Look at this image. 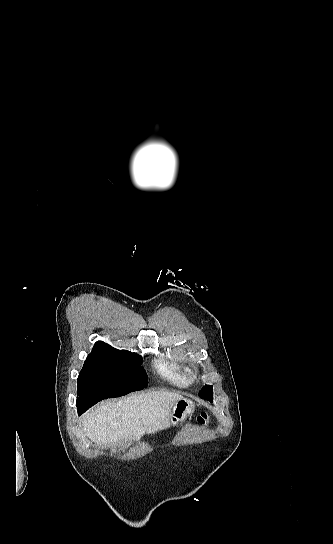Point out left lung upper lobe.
Wrapping results in <instances>:
<instances>
[{
    "instance_id": "5c2ea615",
    "label": "left lung upper lobe",
    "mask_w": 333,
    "mask_h": 544,
    "mask_svg": "<svg viewBox=\"0 0 333 544\" xmlns=\"http://www.w3.org/2000/svg\"><path fill=\"white\" fill-rule=\"evenodd\" d=\"M210 394H213L212 385H206L200 390L199 397L203 398L204 396H208Z\"/></svg>"
}]
</instances>
